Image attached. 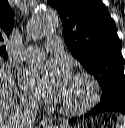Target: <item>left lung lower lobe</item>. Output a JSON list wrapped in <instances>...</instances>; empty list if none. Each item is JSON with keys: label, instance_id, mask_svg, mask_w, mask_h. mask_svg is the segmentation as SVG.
<instances>
[{"label": "left lung lower lobe", "instance_id": "1", "mask_svg": "<svg viewBox=\"0 0 125 128\" xmlns=\"http://www.w3.org/2000/svg\"><path fill=\"white\" fill-rule=\"evenodd\" d=\"M107 111H115V112L125 114V93H121L117 98L110 100L108 102H105L102 104L99 103L94 109H92L84 117H88L90 115H96V114L107 112ZM73 120H76V119H71L70 121H73Z\"/></svg>", "mask_w": 125, "mask_h": 128}]
</instances>
